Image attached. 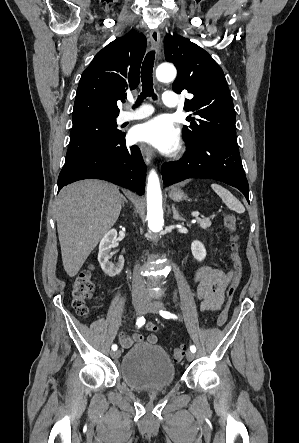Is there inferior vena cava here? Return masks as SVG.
<instances>
[{
    "label": "inferior vena cava",
    "instance_id": "inferior-vena-cava-1",
    "mask_svg": "<svg viewBox=\"0 0 299 443\" xmlns=\"http://www.w3.org/2000/svg\"><path fill=\"white\" fill-rule=\"evenodd\" d=\"M145 292V282L139 273L138 265H136L133 273L132 295L140 297L143 296Z\"/></svg>",
    "mask_w": 299,
    "mask_h": 443
}]
</instances>
